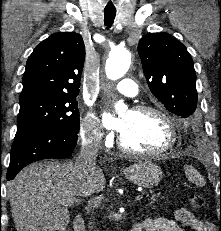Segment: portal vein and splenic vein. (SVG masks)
Instances as JSON below:
<instances>
[{
    "instance_id": "18ae733b",
    "label": "portal vein and splenic vein",
    "mask_w": 221,
    "mask_h": 231,
    "mask_svg": "<svg viewBox=\"0 0 221 231\" xmlns=\"http://www.w3.org/2000/svg\"><path fill=\"white\" fill-rule=\"evenodd\" d=\"M143 197H144L143 194H139V195H137V196L135 197V200H142ZM80 201H81V200L78 199V198H69V199L64 200V203H65V204L72 205V204L77 203V202H80Z\"/></svg>"
}]
</instances>
